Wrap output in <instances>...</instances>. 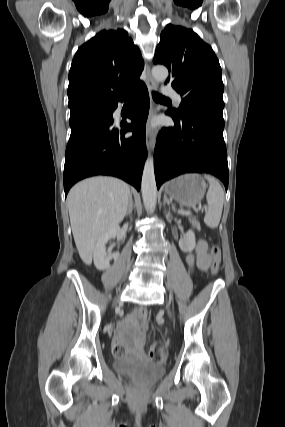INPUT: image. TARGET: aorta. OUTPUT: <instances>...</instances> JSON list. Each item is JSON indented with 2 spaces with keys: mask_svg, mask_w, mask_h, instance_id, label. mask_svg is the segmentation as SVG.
Wrapping results in <instances>:
<instances>
[{
  "mask_svg": "<svg viewBox=\"0 0 285 427\" xmlns=\"http://www.w3.org/2000/svg\"><path fill=\"white\" fill-rule=\"evenodd\" d=\"M152 76L155 81L162 82L168 77V69L162 65L152 68ZM144 206L149 213H153L157 203V187L154 173L153 157L148 156L143 170L141 184Z\"/></svg>",
  "mask_w": 285,
  "mask_h": 427,
  "instance_id": "1",
  "label": "aorta"
}]
</instances>
